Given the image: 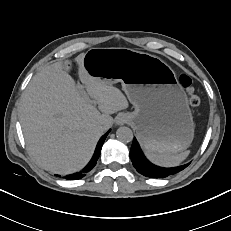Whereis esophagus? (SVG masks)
<instances>
[{
	"mask_svg": "<svg viewBox=\"0 0 231 231\" xmlns=\"http://www.w3.org/2000/svg\"><path fill=\"white\" fill-rule=\"evenodd\" d=\"M126 122V119L124 118V117H119L118 119H117V123L118 124H124Z\"/></svg>",
	"mask_w": 231,
	"mask_h": 231,
	"instance_id": "obj_1",
	"label": "esophagus"
}]
</instances>
